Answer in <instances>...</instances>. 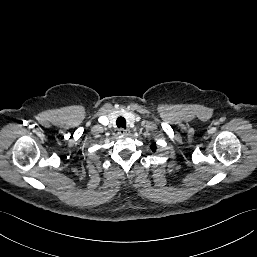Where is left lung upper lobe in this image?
<instances>
[{"instance_id":"5c2ea615","label":"left lung upper lobe","mask_w":257,"mask_h":257,"mask_svg":"<svg viewBox=\"0 0 257 257\" xmlns=\"http://www.w3.org/2000/svg\"><path fill=\"white\" fill-rule=\"evenodd\" d=\"M151 149H152L153 152H155L156 151V145L155 144L151 145Z\"/></svg>"}]
</instances>
